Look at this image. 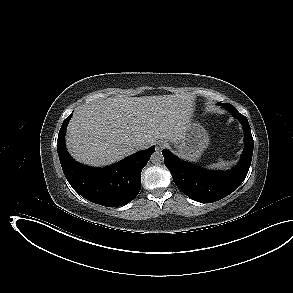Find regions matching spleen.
I'll list each match as a JSON object with an SVG mask.
<instances>
[{
    "label": "spleen",
    "instance_id": "3e777b00",
    "mask_svg": "<svg viewBox=\"0 0 293 293\" xmlns=\"http://www.w3.org/2000/svg\"><path fill=\"white\" fill-rule=\"evenodd\" d=\"M236 163V161H224L222 159H219L217 163H213L208 168L211 169H229V166Z\"/></svg>",
    "mask_w": 293,
    "mask_h": 293
}]
</instances>
